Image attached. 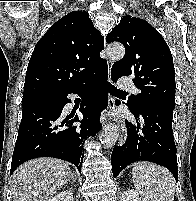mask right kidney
Returning <instances> with one entry per match:
<instances>
[{
  "instance_id": "1",
  "label": "right kidney",
  "mask_w": 196,
  "mask_h": 201,
  "mask_svg": "<svg viewBox=\"0 0 196 201\" xmlns=\"http://www.w3.org/2000/svg\"><path fill=\"white\" fill-rule=\"evenodd\" d=\"M73 192L71 190H65L58 193L48 201H73Z\"/></svg>"
}]
</instances>
